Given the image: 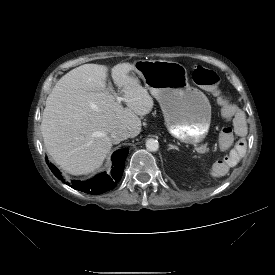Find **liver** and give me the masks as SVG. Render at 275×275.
I'll return each mask as SVG.
<instances>
[{
    "label": "liver",
    "instance_id": "6515ba94",
    "mask_svg": "<svg viewBox=\"0 0 275 275\" xmlns=\"http://www.w3.org/2000/svg\"><path fill=\"white\" fill-rule=\"evenodd\" d=\"M107 71L104 65H81L65 74L47 97L41 123L44 145L69 174L84 175L100 168L112 147V131L124 127L130 137H136L142 126L139 116L153 109L147 89L130 75L133 64L124 62L111 69L126 108L106 86Z\"/></svg>",
    "mask_w": 275,
    "mask_h": 275
}]
</instances>
